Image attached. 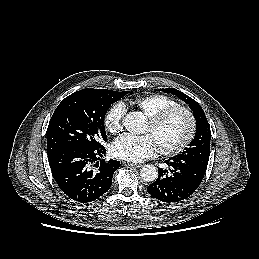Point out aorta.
<instances>
[{"mask_svg": "<svg viewBox=\"0 0 259 259\" xmlns=\"http://www.w3.org/2000/svg\"><path fill=\"white\" fill-rule=\"evenodd\" d=\"M123 126L132 134H143L146 128V119L141 112H130L124 117ZM140 177L143 181L153 182L158 177V171L154 165L147 164L140 169Z\"/></svg>", "mask_w": 259, "mask_h": 259, "instance_id": "1", "label": "aorta"}]
</instances>
